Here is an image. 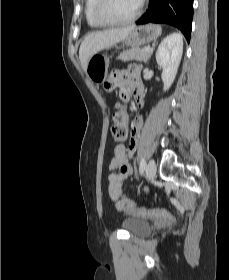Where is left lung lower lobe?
I'll return each mask as SVG.
<instances>
[{"label":"left lung lower lobe","mask_w":229,"mask_h":280,"mask_svg":"<svg viewBox=\"0 0 229 280\" xmlns=\"http://www.w3.org/2000/svg\"><path fill=\"white\" fill-rule=\"evenodd\" d=\"M194 0H150L147 12L137 24L164 23L177 27L190 41Z\"/></svg>","instance_id":"0a47b994"}]
</instances>
